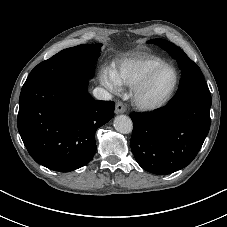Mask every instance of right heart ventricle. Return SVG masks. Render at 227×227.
<instances>
[{"label":"right heart ventricle","mask_w":227,"mask_h":227,"mask_svg":"<svg viewBox=\"0 0 227 227\" xmlns=\"http://www.w3.org/2000/svg\"><path fill=\"white\" fill-rule=\"evenodd\" d=\"M167 64L154 55H142L121 61L112 71L120 86L133 88L155 68Z\"/></svg>","instance_id":"1"}]
</instances>
